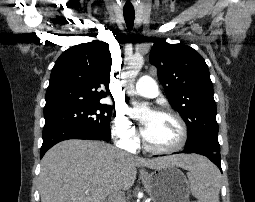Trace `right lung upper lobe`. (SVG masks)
I'll return each instance as SVG.
<instances>
[{"instance_id":"right-lung-upper-lobe-1","label":"right lung upper lobe","mask_w":255,"mask_h":202,"mask_svg":"<svg viewBox=\"0 0 255 202\" xmlns=\"http://www.w3.org/2000/svg\"><path fill=\"white\" fill-rule=\"evenodd\" d=\"M111 64L109 45L100 41L64 51L51 72L44 114L106 97L110 93Z\"/></svg>"}]
</instances>
